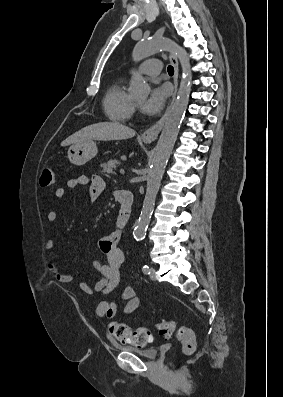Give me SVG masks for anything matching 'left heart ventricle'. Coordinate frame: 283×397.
<instances>
[{
	"mask_svg": "<svg viewBox=\"0 0 283 397\" xmlns=\"http://www.w3.org/2000/svg\"><path fill=\"white\" fill-rule=\"evenodd\" d=\"M137 102H138V103H141V100H138Z\"/></svg>",
	"mask_w": 283,
	"mask_h": 397,
	"instance_id": "1",
	"label": "left heart ventricle"
}]
</instances>
